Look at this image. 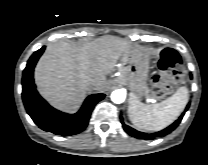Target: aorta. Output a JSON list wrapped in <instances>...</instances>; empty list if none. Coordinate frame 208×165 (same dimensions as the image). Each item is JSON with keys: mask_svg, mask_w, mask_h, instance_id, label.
Segmentation results:
<instances>
[{"mask_svg": "<svg viewBox=\"0 0 208 165\" xmlns=\"http://www.w3.org/2000/svg\"><path fill=\"white\" fill-rule=\"evenodd\" d=\"M126 98V94L123 90L119 89V90H114L111 93V100L112 102L116 103V104H121L125 101Z\"/></svg>", "mask_w": 208, "mask_h": 165, "instance_id": "obj_1", "label": "aorta"}]
</instances>
